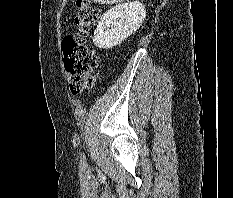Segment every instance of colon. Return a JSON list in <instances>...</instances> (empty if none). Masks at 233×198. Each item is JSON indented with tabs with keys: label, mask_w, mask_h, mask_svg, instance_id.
Segmentation results:
<instances>
[{
	"label": "colon",
	"mask_w": 233,
	"mask_h": 198,
	"mask_svg": "<svg viewBox=\"0 0 233 198\" xmlns=\"http://www.w3.org/2000/svg\"><path fill=\"white\" fill-rule=\"evenodd\" d=\"M76 7L75 34L63 39L62 49L70 89L78 94L92 88L97 81V56L86 45L85 37L96 24L99 11L89 0H77Z\"/></svg>",
	"instance_id": "1"
}]
</instances>
